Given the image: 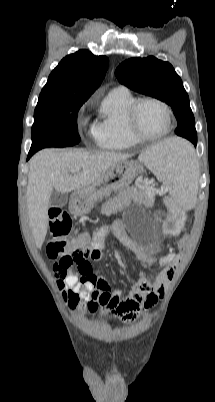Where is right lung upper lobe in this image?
I'll list each match as a JSON object with an SVG mask.
<instances>
[{
  "label": "right lung upper lobe",
  "mask_w": 215,
  "mask_h": 402,
  "mask_svg": "<svg viewBox=\"0 0 215 402\" xmlns=\"http://www.w3.org/2000/svg\"><path fill=\"white\" fill-rule=\"evenodd\" d=\"M108 63L106 56L85 49L68 55L51 72L40 96L89 98L100 86Z\"/></svg>",
  "instance_id": "right-lung-upper-lobe-1"
}]
</instances>
